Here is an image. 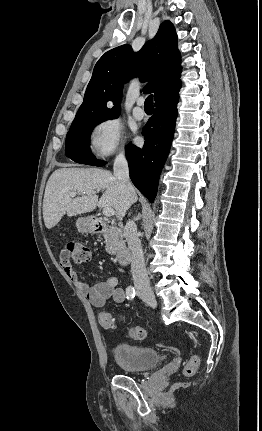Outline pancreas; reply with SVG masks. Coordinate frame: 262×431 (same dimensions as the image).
I'll use <instances>...</instances> for the list:
<instances>
[{
	"mask_svg": "<svg viewBox=\"0 0 262 431\" xmlns=\"http://www.w3.org/2000/svg\"><path fill=\"white\" fill-rule=\"evenodd\" d=\"M103 237L105 239L106 250L110 254H118L124 248L123 235L118 227L111 225Z\"/></svg>",
	"mask_w": 262,
	"mask_h": 431,
	"instance_id": "obj_1",
	"label": "pancreas"
}]
</instances>
